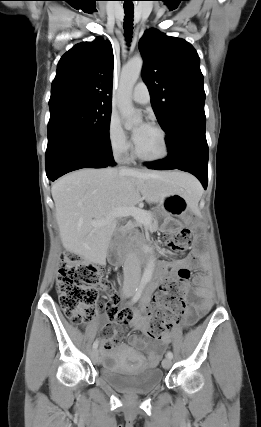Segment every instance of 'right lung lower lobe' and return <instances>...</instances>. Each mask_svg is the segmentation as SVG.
Wrapping results in <instances>:
<instances>
[{
	"mask_svg": "<svg viewBox=\"0 0 261 427\" xmlns=\"http://www.w3.org/2000/svg\"><path fill=\"white\" fill-rule=\"evenodd\" d=\"M46 174L49 180L81 168H105L113 165L110 143H90L74 139L48 142Z\"/></svg>",
	"mask_w": 261,
	"mask_h": 427,
	"instance_id": "obj_1",
	"label": "right lung lower lobe"
}]
</instances>
